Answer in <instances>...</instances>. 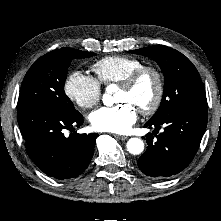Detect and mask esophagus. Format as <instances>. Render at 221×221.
Here are the masks:
<instances>
[{
	"label": "esophagus",
	"instance_id": "esophagus-1",
	"mask_svg": "<svg viewBox=\"0 0 221 221\" xmlns=\"http://www.w3.org/2000/svg\"><path fill=\"white\" fill-rule=\"evenodd\" d=\"M117 139H119V140H126V139H128V137L127 136H122V135H114Z\"/></svg>",
	"mask_w": 221,
	"mask_h": 221
}]
</instances>
